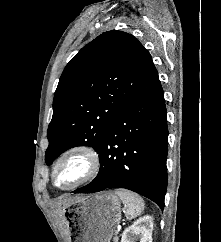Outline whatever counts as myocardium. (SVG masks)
<instances>
[{"label": "myocardium", "mask_w": 221, "mask_h": 242, "mask_svg": "<svg viewBox=\"0 0 221 242\" xmlns=\"http://www.w3.org/2000/svg\"><path fill=\"white\" fill-rule=\"evenodd\" d=\"M72 155H80L85 159L86 170H85L84 174L78 180H76L74 183H72L68 186H65V187L58 186L55 181V175H56L57 169L60 166V164L67 157L72 156ZM100 166H101L100 156H99L98 151L94 147H92L91 145H87V144L72 145V146L68 147L67 149H65L55 159V161L52 165V168H51V174H50L51 183L55 188L62 190V191H69V190L75 189L76 187L83 185V184L91 181L92 179H94L100 170Z\"/></svg>", "instance_id": "obj_1"}]
</instances>
